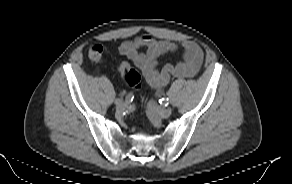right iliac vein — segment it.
<instances>
[{
  "label": "right iliac vein",
  "instance_id": "right-iliac-vein-1",
  "mask_svg": "<svg viewBox=\"0 0 292 184\" xmlns=\"http://www.w3.org/2000/svg\"><path fill=\"white\" fill-rule=\"evenodd\" d=\"M115 105H116L117 109L121 110V109H124L127 106V102H125L121 98H117L115 100Z\"/></svg>",
  "mask_w": 292,
  "mask_h": 184
}]
</instances>
